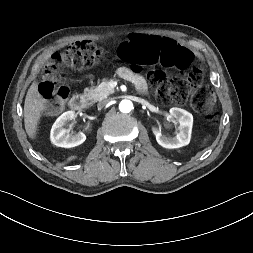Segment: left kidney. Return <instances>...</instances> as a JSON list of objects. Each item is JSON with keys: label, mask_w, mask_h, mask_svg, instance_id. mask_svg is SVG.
Listing matches in <instances>:
<instances>
[{"label": "left kidney", "mask_w": 253, "mask_h": 253, "mask_svg": "<svg viewBox=\"0 0 253 253\" xmlns=\"http://www.w3.org/2000/svg\"><path fill=\"white\" fill-rule=\"evenodd\" d=\"M170 114L178 121L179 132L175 137H171L163 135L159 128L153 127L152 132L156 137L157 143L167 149H176L188 145L193 125L192 114L176 107L170 109Z\"/></svg>", "instance_id": "5707ae66"}]
</instances>
